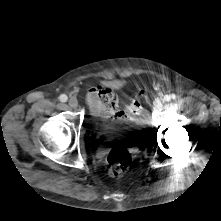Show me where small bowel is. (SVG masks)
Masks as SVG:
<instances>
[{"label":"small bowel","mask_w":221,"mask_h":221,"mask_svg":"<svg viewBox=\"0 0 221 221\" xmlns=\"http://www.w3.org/2000/svg\"><path fill=\"white\" fill-rule=\"evenodd\" d=\"M106 97L111 100L110 103L104 101ZM87 102L91 113L101 120L123 122L131 120L136 114L133 112L131 105L119 108L115 95L106 86L90 88L87 93Z\"/></svg>","instance_id":"small-bowel-1"}]
</instances>
